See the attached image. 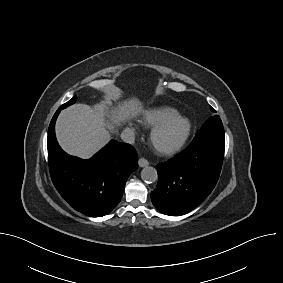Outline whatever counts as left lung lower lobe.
Masks as SVG:
<instances>
[{
    "label": "left lung lower lobe",
    "mask_w": 283,
    "mask_h": 283,
    "mask_svg": "<svg viewBox=\"0 0 283 283\" xmlns=\"http://www.w3.org/2000/svg\"><path fill=\"white\" fill-rule=\"evenodd\" d=\"M224 148L225 138L196 135L180 154L158 164L153 205L169 216L184 215L199 206L218 181Z\"/></svg>",
    "instance_id": "1"
}]
</instances>
